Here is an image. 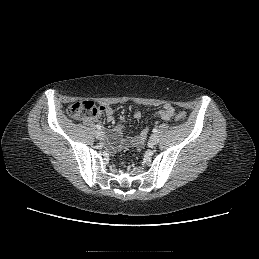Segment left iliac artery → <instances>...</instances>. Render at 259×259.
Masks as SVG:
<instances>
[{"label":"left iliac artery","mask_w":259,"mask_h":259,"mask_svg":"<svg viewBox=\"0 0 259 259\" xmlns=\"http://www.w3.org/2000/svg\"><path fill=\"white\" fill-rule=\"evenodd\" d=\"M158 132V129L157 128H154L153 129V133H157Z\"/></svg>","instance_id":"1"}]
</instances>
